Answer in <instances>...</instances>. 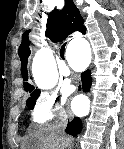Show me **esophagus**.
Masks as SVG:
<instances>
[{"label": "esophagus", "mask_w": 124, "mask_h": 149, "mask_svg": "<svg viewBox=\"0 0 124 149\" xmlns=\"http://www.w3.org/2000/svg\"><path fill=\"white\" fill-rule=\"evenodd\" d=\"M77 91H79V92L81 91V85H80V83L77 84Z\"/></svg>", "instance_id": "esophagus-1"}]
</instances>
